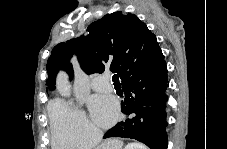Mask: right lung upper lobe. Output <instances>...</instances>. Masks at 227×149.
Returning <instances> with one entry per match:
<instances>
[{
  "mask_svg": "<svg viewBox=\"0 0 227 149\" xmlns=\"http://www.w3.org/2000/svg\"><path fill=\"white\" fill-rule=\"evenodd\" d=\"M87 30H90L88 37L71 39L53 48L46 65L50 90L55 88L59 69L73 77L69 60L73 53L86 74L102 73L106 67H110L122 81L163 57L156 36L136 15L121 11L107 14L90 24Z\"/></svg>",
  "mask_w": 227,
  "mask_h": 149,
  "instance_id": "obj_1",
  "label": "right lung upper lobe"
}]
</instances>
